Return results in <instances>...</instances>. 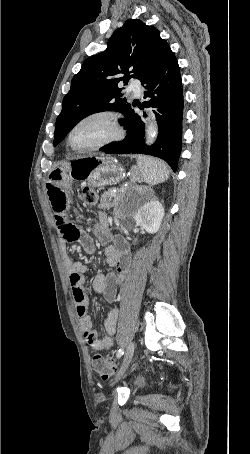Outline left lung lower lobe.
I'll return each mask as SVG.
<instances>
[{
    "instance_id": "obj_1",
    "label": "left lung lower lobe",
    "mask_w": 250,
    "mask_h": 454,
    "mask_svg": "<svg viewBox=\"0 0 250 454\" xmlns=\"http://www.w3.org/2000/svg\"><path fill=\"white\" fill-rule=\"evenodd\" d=\"M140 81L145 88L144 98H150L144 102V107L154 108L157 119L159 135L156 142L151 146L144 143V122L130 106L120 123L127 130L126 137L100 150L107 154L140 153L155 156L165 160L176 171L181 153L184 101L180 68L174 53L171 51Z\"/></svg>"
}]
</instances>
